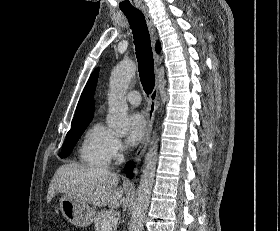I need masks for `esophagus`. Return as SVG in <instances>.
Here are the masks:
<instances>
[{"mask_svg": "<svg viewBox=\"0 0 280 231\" xmlns=\"http://www.w3.org/2000/svg\"><path fill=\"white\" fill-rule=\"evenodd\" d=\"M139 9L141 10V12L143 13V15L145 17L146 25H147L148 31L150 33L151 44L153 47L155 65H156V67H158L160 65V60H159V55L156 53V50H155L157 31H156V27L154 24V20L148 10V7L142 6V7H139ZM158 92H159V85H158V83H156V85L154 86V89L150 95V100H149V104H148L147 128L145 131V135L141 141V144L139 145V148L137 149V151L134 155L135 163H139L142 160V158L146 152V149L148 147L149 141H150V136H151V133L153 130V125H154L155 114H156V111L158 110V106H159Z\"/></svg>", "mask_w": 280, "mask_h": 231, "instance_id": "1", "label": "esophagus"}]
</instances>
